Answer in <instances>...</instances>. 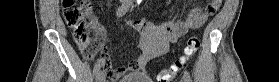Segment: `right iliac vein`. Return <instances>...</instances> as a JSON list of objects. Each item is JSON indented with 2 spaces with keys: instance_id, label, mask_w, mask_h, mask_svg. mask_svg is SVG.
I'll return each instance as SVG.
<instances>
[{
  "instance_id": "1",
  "label": "right iliac vein",
  "mask_w": 279,
  "mask_h": 82,
  "mask_svg": "<svg viewBox=\"0 0 279 82\" xmlns=\"http://www.w3.org/2000/svg\"><path fill=\"white\" fill-rule=\"evenodd\" d=\"M105 80V75L103 72H99L97 74V77H96V82H104Z\"/></svg>"
}]
</instances>
